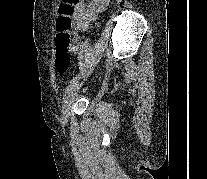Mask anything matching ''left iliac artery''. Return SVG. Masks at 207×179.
<instances>
[{
  "instance_id": "left-iliac-artery-1",
  "label": "left iliac artery",
  "mask_w": 207,
  "mask_h": 179,
  "mask_svg": "<svg viewBox=\"0 0 207 179\" xmlns=\"http://www.w3.org/2000/svg\"><path fill=\"white\" fill-rule=\"evenodd\" d=\"M79 79H80V74L73 77V79L69 82V84L67 85V87L65 89V95L64 96H66V93H68L72 89V87L78 82Z\"/></svg>"
}]
</instances>
